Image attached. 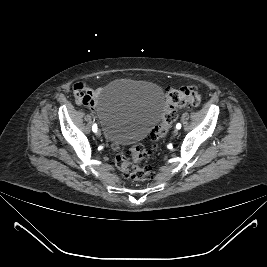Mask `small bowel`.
Here are the masks:
<instances>
[{"instance_id": "obj_1", "label": "small bowel", "mask_w": 267, "mask_h": 267, "mask_svg": "<svg viewBox=\"0 0 267 267\" xmlns=\"http://www.w3.org/2000/svg\"><path fill=\"white\" fill-rule=\"evenodd\" d=\"M97 94H98V90L91 88L87 84L77 83L74 85V95H75L76 101L79 104L93 107Z\"/></svg>"}]
</instances>
